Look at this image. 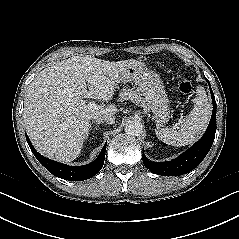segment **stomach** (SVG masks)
I'll list each match as a JSON object with an SVG mask.
<instances>
[{"mask_svg": "<svg viewBox=\"0 0 239 239\" xmlns=\"http://www.w3.org/2000/svg\"><path fill=\"white\" fill-rule=\"evenodd\" d=\"M134 82L144 96L145 107L153 113L158 126L170 118L169 100L160 76L138 60H130L121 71L118 83Z\"/></svg>", "mask_w": 239, "mask_h": 239, "instance_id": "1", "label": "stomach"}]
</instances>
